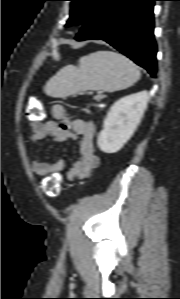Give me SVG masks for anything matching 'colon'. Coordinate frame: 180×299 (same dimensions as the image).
<instances>
[{"label":"colon","instance_id":"colon-1","mask_svg":"<svg viewBox=\"0 0 180 299\" xmlns=\"http://www.w3.org/2000/svg\"><path fill=\"white\" fill-rule=\"evenodd\" d=\"M27 114L29 117L37 120H43L46 112L40 107L39 102L33 100L29 103ZM41 188L49 197H57L62 189V178L58 174H52L44 177L41 181Z\"/></svg>","mask_w":180,"mask_h":299}]
</instances>
